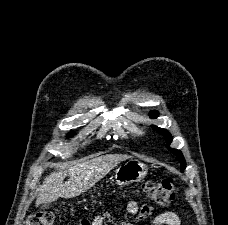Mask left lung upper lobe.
Returning a JSON list of instances; mask_svg holds the SVG:
<instances>
[{"mask_svg": "<svg viewBox=\"0 0 228 225\" xmlns=\"http://www.w3.org/2000/svg\"><path fill=\"white\" fill-rule=\"evenodd\" d=\"M151 117H152V118L158 117V112H156V111L151 112ZM152 128H153L154 130H156L159 134L163 135V136L166 138L167 146H169V144H170L171 141H172V136H171V134H170L168 131H166L165 129L159 128V127L154 126V125H152ZM169 149H170L175 155L178 156V159H179V161H180V163H181V165H182L181 171H183V170L185 169L186 162H185V159H184V157H183V155H182V152L179 151V150H177V149H171V148H169Z\"/></svg>", "mask_w": 228, "mask_h": 225, "instance_id": "1", "label": "left lung upper lobe"}]
</instances>
